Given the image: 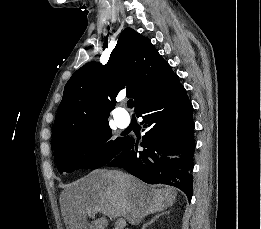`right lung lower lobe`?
Here are the masks:
<instances>
[{"mask_svg":"<svg viewBox=\"0 0 261 229\" xmlns=\"http://www.w3.org/2000/svg\"><path fill=\"white\" fill-rule=\"evenodd\" d=\"M137 116L147 128L141 146L129 138L108 166L124 168L149 184L179 188L191 201L195 152L193 107L178 76L152 99L142 103Z\"/></svg>","mask_w":261,"mask_h":229,"instance_id":"1","label":"right lung lower lobe"}]
</instances>
